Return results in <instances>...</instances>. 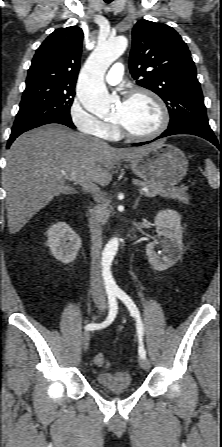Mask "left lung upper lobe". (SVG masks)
Returning <instances> with one entry per match:
<instances>
[{
  "label": "left lung upper lobe",
  "mask_w": 222,
  "mask_h": 447,
  "mask_svg": "<svg viewBox=\"0 0 222 447\" xmlns=\"http://www.w3.org/2000/svg\"><path fill=\"white\" fill-rule=\"evenodd\" d=\"M129 66L138 85L166 102L169 126L190 122L211 129L191 54L173 28L147 20L137 22L132 30Z\"/></svg>",
  "instance_id": "1"
}]
</instances>
